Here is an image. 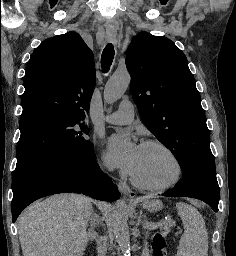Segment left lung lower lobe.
I'll list each match as a JSON object with an SVG mask.
<instances>
[{"label": "left lung lower lobe", "mask_w": 236, "mask_h": 256, "mask_svg": "<svg viewBox=\"0 0 236 256\" xmlns=\"http://www.w3.org/2000/svg\"><path fill=\"white\" fill-rule=\"evenodd\" d=\"M167 197H192L207 203L218 212L220 188L216 173L206 171H190L183 175L175 187L163 194Z\"/></svg>", "instance_id": "obj_1"}]
</instances>
